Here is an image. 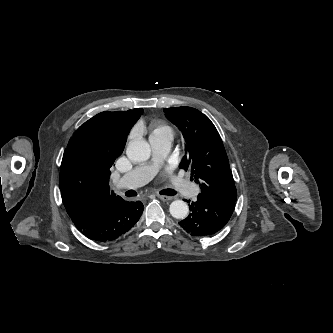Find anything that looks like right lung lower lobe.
<instances>
[{"instance_id": "1", "label": "right lung lower lobe", "mask_w": 333, "mask_h": 333, "mask_svg": "<svg viewBox=\"0 0 333 333\" xmlns=\"http://www.w3.org/2000/svg\"><path fill=\"white\" fill-rule=\"evenodd\" d=\"M143 212L140 201L123 199L103 205L87 214L71 217L76 228L91 240L109 242L128 232Z\"/></svg>"}]
</instances>
